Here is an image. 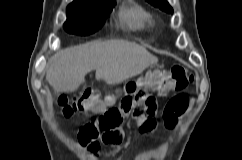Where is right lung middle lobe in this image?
I'll return each instance as SVG.
<instances>
[{"label":"right lung middle lobe","instance_id":"right-lung-middle-lobe-1","mask_svg":"<svg viewBox=\"0 0 242 160\" xmlns=\"http://www.w3.org/2000/svg\"><path fill=\"white\" fill-rule=\"evenodd\" d=\"M114 4L115 0H107L85 5H69L65 30L79 35L94 33L103 24V17L108 15Z\"/></svg>","mask_w":242,"mask_h":160}]
</instances>
